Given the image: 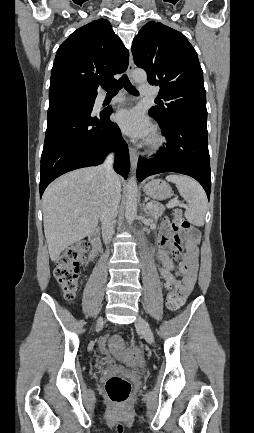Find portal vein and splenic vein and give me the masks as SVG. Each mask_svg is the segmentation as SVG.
I'll use <instances>...</instances> for the list:
<instances>
[{
    "instance_id": "obj_1",
    "label": "portal vein and splenic vein",
    "mask_w": 254,
    "mask_h": 433,
    "mask_svg": "<svg viewBox=\"0 0 254 433\" xmlns=\"http://www.w3.org/2000/svg\"><path fill=\"white\" fill-rule=\"evenodd\" d=\"M177 205H179V201H173V202L170 203L168 206H169V207H174V206H177ZM146 206H147V208H150V207L152 206V204H151L150 202H148V203L146 204Z\"/></svg>"
}]
</instances>
